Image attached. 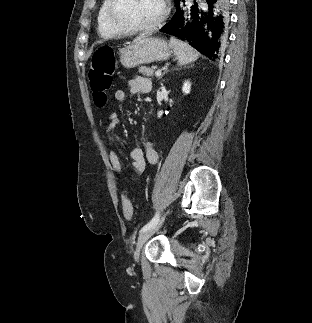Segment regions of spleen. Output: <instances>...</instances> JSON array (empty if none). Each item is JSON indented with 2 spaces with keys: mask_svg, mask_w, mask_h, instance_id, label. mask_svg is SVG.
<instances>
[{
  "mask_svg": "<svg viewBox=\"0 0 312 323\" xmlns=\"http://www.w3.org/2000/svg\"><path fill=\"white\" fill-rule=\"evenodd\" d=\"M170 46L178 60L179 66H185V64H191V62H196L199 54L195 52L189 44L186 42H181V40H176V38H170Z\"/></svg>",
  "mask_w": 312,
  "mask_h": 323,
  "instance_id": "spleen-1",
  "label": "spleen"
}]
</instances>
